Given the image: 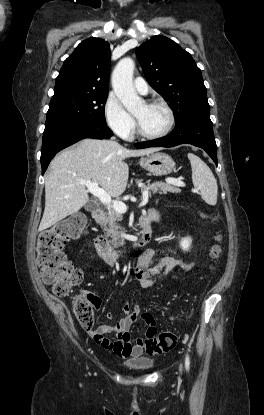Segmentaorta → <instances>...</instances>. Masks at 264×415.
I'll return each instance as SVG.
<instances>
[{"label":"aorta","instance_id":"aorta-1","mask_svg":"<svg viewBox=\"0 0 264 415\" xmlns=\"http://www.w3.org/2000/svg\"><path fill=\"white\" fill-rule=\"evenodd\" d=\"M134 68L133 59L125 57L118 62L112 73L114 92L129 112L136 111L143 104V100L137 95L133 87Z\"/></svg>","mask_w":264,"mask_h":415}]
</instances>
